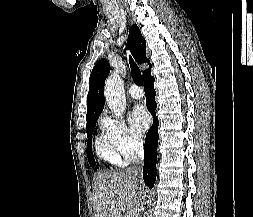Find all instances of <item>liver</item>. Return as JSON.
Masks as SVG:
<instances>
[{
  "label": "liver",
  "mask_w": 253,
  "mask_h": 217,
  "mask_svg": "<svg viewBox=\"0 0 253 217\" xmlns=\"http://www.w3.org/2000/svg\"><path fill=\"white\" fill-rule=\"evenodd\" d=\"M134 180L126 171L96 176L92 191L94 217H122L123 212L124 217H139L144 199L138 198L140 190Z\"/></svg>",
  "instance_id": "liver-1"
}]
</instances>
